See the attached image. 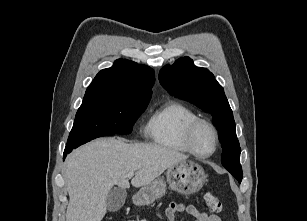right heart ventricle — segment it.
Listing matches in <instances>:
<instances>
[{
	"label": "right heart ventricle",
	"mask_w": 307,
	"mask_h": 221,
	"mask_svg": "<svg viewBox=\"0 0 307 221\" xmlns=\"http://www.w3.org/2000/svg\"><path fill=\"white\" fill-rule=\"evenodd\" d=\"M198 118L186 105L169 101L153 111L145 133L155 144L176 152H189L183 143V133L191 121Z\"/></svg>",
	"instance_id": "1"
}]
</instances>
